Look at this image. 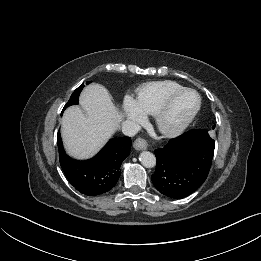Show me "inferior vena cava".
Here are the masks:
<instances>
[{"label":"inferior vena cava","instance_id":"inferior-vena-cava-1","mask_svg":"<svg viewBox=\"0 0 261 261\" xmlns=\"http://www.w3.org/2000/svg\"><path fill=\"white\" fill-rule=\"evenodd\" d=\"M140 129V125L133 121H125L122 124V132L127 136H134Z\"/></svg>","mask_w":261,"mask_h":261}]
</instances>
